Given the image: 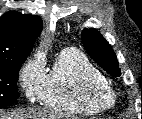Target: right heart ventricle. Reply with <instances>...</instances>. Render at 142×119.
Instances as JSON below:
<instances>
[{"label": "right heart ventricle", "mask_w": 142, "mask_h": 119, "mask_svg": "<svg viewBox=\"0 0 142 119\" xmlns=\"http://www.w3.org/2000/svg\"><path fill=\"white\" fill-rule=\"evenodd\" d=\"M96 87H108L103 73L76 48L64 49L45 75L41 101L45 106L80 115H95L101 109L91 98Z\"/></svg>", "instance_id": "right-heart-ventricle-1"}]
</instances>
